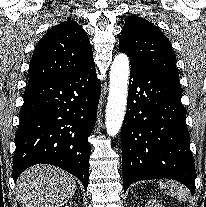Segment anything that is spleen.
I'll use <instances>...</instances> for the list:
<instances>
[{"label":"spleen","mask_w":206,"mask_h":207,"mask_svg":"<svg viewBox=\"0 0 206 207\" xmlns=\"http://www.w3.org/2000/svg\"><path fill=\"white\" fill-rule=\"evenodd\" d=\"M159 184L160 187L167 190L171 196L178 198V200H186L187 192L181 185L172 181L160 182Z\"/></svg>","instance_id":"obj_1"}]
</instances>
